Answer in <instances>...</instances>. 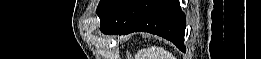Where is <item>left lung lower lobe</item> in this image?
<instances>
[{"label":"left lung lower lobe","instance_id":"1","mask_svg":"<svg viewBox=\"0 0 261 59\" xmlns=\"http://www.w3.org/2000/svg\"><path fill=\"white\" fill-rule=\"evenodd\" d=\"M186 19L178 0H120L101 20L104 34L143 31L170 40L185 51Z\"/></svg>","mask_w":261,"mask_h":59}]
</instances>
